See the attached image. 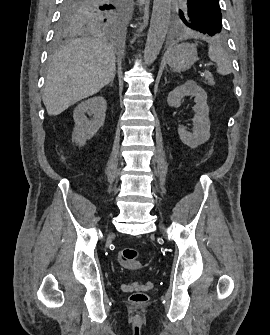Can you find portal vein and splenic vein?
Returning <instances> with one entry per match:
<instances>
[{
	"instance_id": "portal-vein-and-splenic-vein-1",
	"label": "portal vein and splenic vein",
	"mask_w": 270,
	"mask_h": 335,
	"mask_svg": "<svg viewBox=\"0 0 270 335\" xmlns=\"http://www.w3.org/2000/svg\"><path fill=\"white\" fill-rule=\"evenodd\" d=\"M211 66H214V63H209V62H207L206 64H205V68L207 69L208 67H211ZM203 73V72H202Z\"/></svg>"
}]
</instances>
